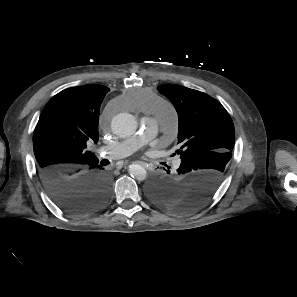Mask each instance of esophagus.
Returning a JSON list of instances; mask_svg holds the SVG:
<instances>
[{"label":"esophagus","mask_w":297,"mask_h":297,"mask_svg":"<svg viewBox=\"0 0 297 297\" xmlns=\"http://www.w3.org/2000/svg\"><path fill=\"white\" fill-rule=\"evenodd\" d=\"M137 163L140 164V165H143V166H146L147 165V163L142 162V161H137Z\"/></svg>","instance_id":"1"}]
</instances>
